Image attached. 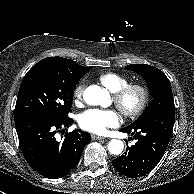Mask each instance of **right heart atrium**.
<instances>
[{"label": "right heart atrium", "mask_w": 194, "mask_h": 194, "mask_svg": "<svg viewBox=\"0 0 194 194\" xmlns=\"http://www.w3.org/2000/svg\"><path fill=\"white\" fill-rule=\"evenodd\" d=\"M86 87V81H80L74 88L73 96L76 100H81L83 98L84 90Z\"/></svg>", "instance_id": "right-heart-atrium-1"}]
</instances>
